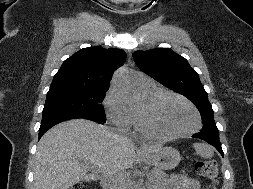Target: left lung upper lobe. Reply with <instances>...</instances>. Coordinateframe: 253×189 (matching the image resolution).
Instances as JSON below:
<instances>
[{"label": "left lung upper lobe", "instance_id": "obj_1", "mask_svg": "<svg viewBox=\"0 0 253 189\" xmlns=\"http://www.w3.org/2000/svg\"><path fill=\"white\" fill-rule=\"evenodd\" d=\"M133 59L137 66L162 85L187 97L199 110L204 132H219L214 111L199 75L188 61L170 48L136 51Z\"/></svg>", "mask_w": 253, "mask_h": 189}]
</instances>
